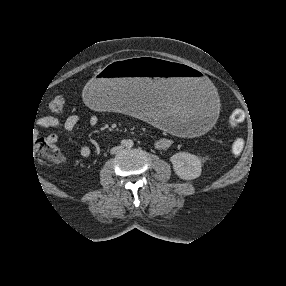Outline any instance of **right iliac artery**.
<instances>
[{
	"label": "right iliac artery",
	"mask_w": 286,
	"mask_h": 286,
	"mask_svg": "<svg viewBox=\"0 0 286 286\" xmlns=\"http://www.w3.org/2000/svg\"><path fill=\"white\" fill-rule=\"evenodd\" d=\"M127 144H128V142H127L126 140H122V141H121V145H122L123 147L127 146Z\"/></svg>",
	"instance_id": "obj_1"
}]
</instances>
